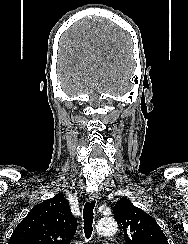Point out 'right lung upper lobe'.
<instances>
[{
  "label": "right lung upper lobe",
  "mask_w": 188,
  "mask_h": 244,
  "mask_svg": "<svg viewBox=\"0 0 188 244\" xmlns=\"http://www.w3.org/2000/svg\"><path fill=\"white\" fill-rule=\"evenodd\" d=\"M77 219L62 194L34 206L13 231L8 244H69Z\"/></svg>",
  "instance_id": "obj_1"
}]
</instances>
